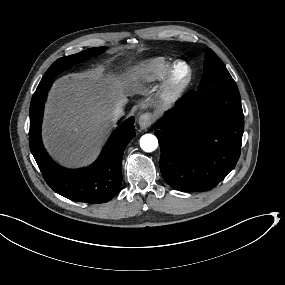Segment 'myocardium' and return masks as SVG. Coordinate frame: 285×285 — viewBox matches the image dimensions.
I'll use <instances>...</instances> for the list:
<instances>
[{
    "label": "myocardium",
    "instance_id": "f54148a6",
    "mask_svg": "<svg viewBox=\"0 0 285 285\" xmlns=\"http://www.w3.org/2000/svg\"><path fill=\"white\" fill-rule=\"evenodd\" d=\"M189 78V72L181 74L176 69L171 70L155 94L157 102L169 103L177 100L181 96Z\"/></svg>",
    "mask_w": 285,
    "mask_h": 285
}]
</instances>
